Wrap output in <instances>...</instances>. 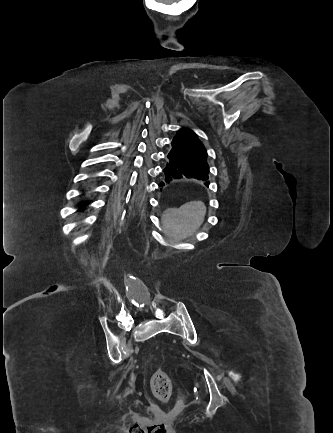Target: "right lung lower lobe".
<instances>
[{"mask_svg": "<svg viewBox=\"0 0 333 433\" xmlns=\"http://www.w3.org/2000/svg\"><path fill=\"white\" fill-rule=\"evenodd\" d=\"M85 205H87L86 202L81 201V202L79 203V206H80L81 208H83Z\"/></svg>", "mask_w": 333, "mask_h": 433, "instance_id": "1", "label": "right lung lower lobe"}]
</instances>
